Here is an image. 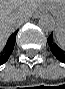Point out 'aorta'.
Wrapping results in <instances>:
<instances>
[{
  "mask_svg": "<svg viewBox=\"0 0 65 89\" xmlns=\"http://www.w3.org/2000/svg\"><path fill=\"white\" fill-rule=\"evenodd\" d=\"M38 23L43 31L51 32L55 29V20L49 13H41Z\"/></svg>",
  "mask_w": 65,
  "mask_h": 89,
  "instance_id": "762f6f07",
  "label": "aorta"
}]
</instances>
